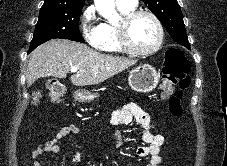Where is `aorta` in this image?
I'll use <instances>...</instances> for the list:
<instances>
[{
	"mask_svg": "<svg viewBox=\"0 0 227 166\" xmlns=\"http://www.w3.org/2000/svg\"><path fill=\"white\" fill-rule=\"evenodd\" d=\"M97 11L101 16L109 21L115 23L118 21V13L115 10L114 0H94Z\"/></svg>",
	"mask_w": 227,
	"mask_h": 166,
	"instance_id": "obj_1",
	"label": "aorta"
}]
</instances>
